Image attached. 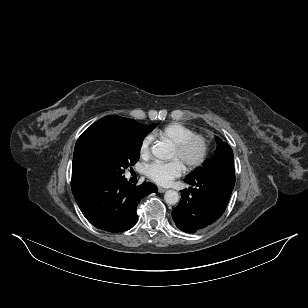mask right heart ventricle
<instances>
[{
  "mask_svg": "<svg viewBox=\"0 0 308 308\" xmlns=\"http://www.w3.org/2000/svg\"><path fill=\"white\" fill-rule=\"evenodd\" d=\"M194 133L195 130L189 126L179 122H171L155 131L154 135L176 145Z\"/></svg>",
  "mask_w": 308,
  "mask_h": 308,
  "instance_id": "right-heart-ventricle-1",
  "label": "right heart ventricle"
}]
</instances>
